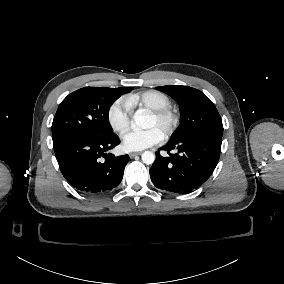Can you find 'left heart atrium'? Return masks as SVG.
<instances>
[{
	"label": "left heart atrium",
	"mask_w": 284,
	"mask_h": 284,
	"mask_svg": "<svg viewBox=\"0 0 284 284\" xmlns=\"http://www.w3.org/2000/svg\"><path fill=\"white\" fill-rule=\"evenodd\" d=\"M122 147L127 151L149 148L162 142V133L156 128L146 130L129 129L122 135Z\"/></svg>",
	"instance_id": "1"
}]
</instances>
